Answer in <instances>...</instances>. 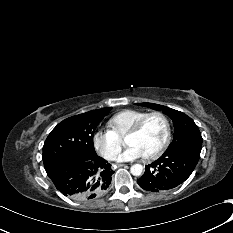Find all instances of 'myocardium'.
Returning <instances> with one entry per match:
<instances>
[{
    "label": "myocardium",
    "mask_w": 233,
    "mask_h": 233,
    "mask_svg": "<svg viewBox=\"0 0 233 233\" xmlns=\"http://www.w3.org/2000/svg\"><path fill=\"white\" fill-rule=\"evenodd\" d=\"M152 116H159L164 121L165 136H164L163 141L160 143V145L155 150H153L151 153L145 155L146 158H154V157L158 156L159 154H161L164 151V149L167 147L168 143L170 142L171 124H170V120H169L168 116L161 111H153V112L146 113L133 126H131L124 135V139H125L126 137H128L130 135L137 134L141 130V128L143 127L146 120Z\"/></svg>",
    "instance_id": "f54148a6"
}]
</instances>
